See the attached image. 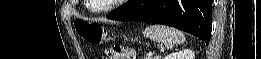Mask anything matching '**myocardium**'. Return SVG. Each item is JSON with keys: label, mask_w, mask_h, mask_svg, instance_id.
I'll list each match as a JSON object with an SVG mask.
<instances>
[{"label": "myocardium", "mask_w": 261, "mask_h": 59, "mask_svg": "<svg viewBox=\"0 0 261 59\" xmlns=\"http://www.w3.org/2000/svg\"><path fill=\"white\" fill-rule=\"evenodd\" d=\"M123 0H112L110 2V4L104 6V7H100V8H97L95 9V11H98V12H107V11H110L111 9H113L115 6H117L118 3L122 2Z\"/></svg>", "instance_id": "myocardium-1"}]
</instances>
